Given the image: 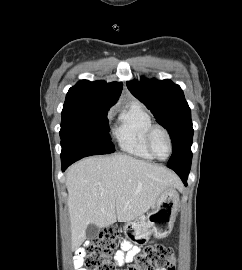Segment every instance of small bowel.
Here are the masks:
<instances>
[{
    "label": "small bowel",
    "mask_w": 242,
    "mask_h": 270,
    "mask_svg": "<svg viewBox=\"0 0 242 270\" xmlns=\"http://www.w3.org/2000/svg\"><path fill=\"white\" fill-rule=\"evenodd\" d=\"M139 249L136 246H133L128 241H123L121 248L115 254V261L118 264H123L127 261H130L137 253ZM74 264L77 267H80L82 264V255H77L74 260ZM79 270H85L80 268ZM155 270H165L164 268H156Z\"/></svg>",
    "instance_id": "c3829d8e"
}]
</instances>
